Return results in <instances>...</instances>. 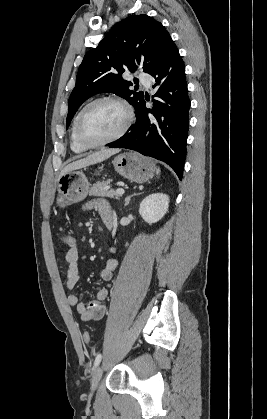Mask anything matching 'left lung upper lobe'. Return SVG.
<instances>
[{"instance_id": "obj_1", "label": "left lung upper lobe", "mask_w": 267, "mask_h": 419, "mask_svg": "<svg viewBox=\"0 0 267 419\" xmlns=\"http://www.w3.org/2000/svg\"><path fill=\"white\" fill-rule=\"evenodd\" d=\"M171 37L165 27L145 14L131 15L118 22L96 48L84 56L69 98L66 128L78 108L91 96L111 92L135 108L143 92L130 90L123 80L126 71L142 67L149 73L162 58Z\"/></svg>"}]
</instances>
